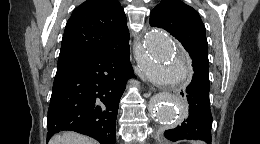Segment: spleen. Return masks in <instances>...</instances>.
Here are the masks:
<instances>
[{"instance_id":"spleen-1","label":"spleen","mask_w":260,"mask_h":144,"mask_svg":"<svg viewBox=\"0 0 260 144\" xmlns=\"http://www.w3.org/2000/svg\"><path fill=\"white\" fill-rule=\"evenodd\" d=\"M192 144H202V142L195 141V142H193Z\"/></svg>"}]
</instances>
